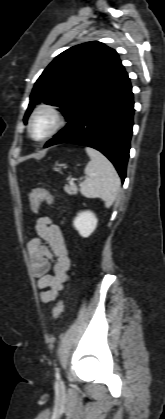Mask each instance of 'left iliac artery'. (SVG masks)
<instances>
[{"label": "left iliac artery", "instance_id": "left-iliac-artery-1", "mask_svg": "<svg viewBox=\"0 0 165 419\" xmlns=\"http://www.w3.org/2000/svg\"><path fill=\"white\" fill-rule=\"evenodd\" d=\"M59 376H60L59 370L57 369V371H56V377H59Z\"/></svg>", "mask_w": 165, "mask_h": 419}]
</instances>
